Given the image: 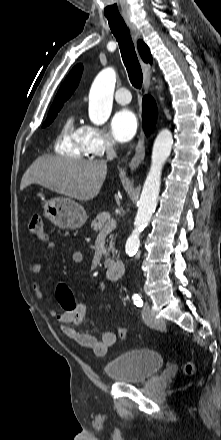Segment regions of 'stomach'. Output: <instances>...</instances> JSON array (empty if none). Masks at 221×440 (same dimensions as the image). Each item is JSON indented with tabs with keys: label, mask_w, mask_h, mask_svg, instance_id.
Masks as SVG:
<instances>
[{
	"label": "stomach",
	"mask_w": 221,
	"mask_h": 440,
	"mask_svg": "<svg viewBox=\"0 0 221 440\" xmlns=\"http://www.w3.org/2000/svg\"><path fill=\"white\" fill-rule=\"evenodd\" d=\"M45 216L59 228L78 229L87 219L83 206L68 197H55L45 202Z\"/></svg>",
	"instance_id": "obj_1"
}]
</instances>
